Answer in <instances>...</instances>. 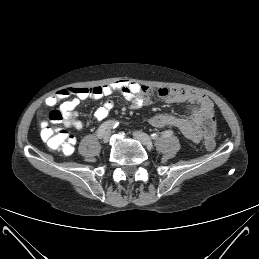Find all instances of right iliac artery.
I'll return each mask as SVG.
<instances>
[{
    "mask_svg": "<svg viewBox=\"0 0 259 259\" xmlns=\"http://www.w3.org/2000/svg\"><path fill=\"white\" fill-rule=\"evenodd\" d=\"M112 121H114V120H110V121H106V122H104L103 124H101V126L98 128V130H97V136H98V138H102V136H103V134L105 133V130H106V127H107V125L110 123V122H112Z\"/></svg>",
    "mask_w": 259,
    "mask_h": 259,
    "instance_id": "1",
    "label": "right iliac artery"
}]
</instances>
